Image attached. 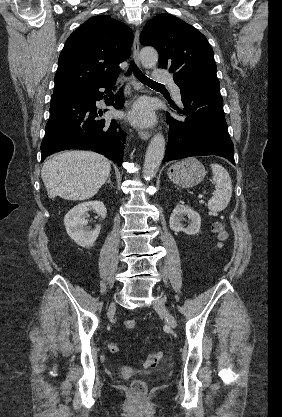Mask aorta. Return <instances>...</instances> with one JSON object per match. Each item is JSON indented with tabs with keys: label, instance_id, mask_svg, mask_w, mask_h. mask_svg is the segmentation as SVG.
<instances>
[{
	"label": "aorta",
	"instance_id": "762f6f07",
	"mask_svg": "<svg viewBox=\"0 0 282 417\" xmlns=\"http://www.w3.org/2000/svg\"><path fill=\"white\" fill-rule=\"evenodd\" d=\"M141 64L144 68H154L158 62V52L153 46H144L140 52ZM165 152V138L161 132L151 138L145 154L143 176L146 180L153 178L163 160Z\"/></svg>",
	"mask_w": 282,
	"mask_h": 417
}]
</instances>
